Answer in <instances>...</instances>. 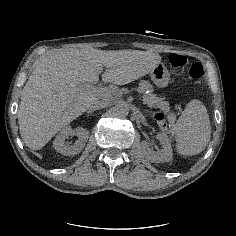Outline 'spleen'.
Segmentation results:
<instances>
[{
    "mask_svg": "<svg viewBox=\"0 0 236 236\" xmlns=\"http://www.w3.org/2000/svg\"><path fill=\"white\" fill-rule=\"evenodd\" d=\"M176 149L183 155L201 153L211 137L209 116L204 104L199 100L188 102L175 124Z\"/></svg>",
    "mask_w": 236,
    "mask_h": 236,
    "instance_id": "obj_1",
    "label": "spleen"
}]
</instances>
